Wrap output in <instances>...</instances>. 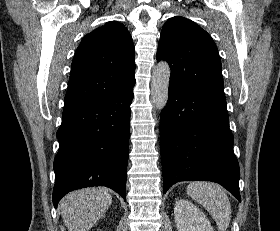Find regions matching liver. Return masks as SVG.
<instances>
[{"label":"liver","instance_id":"6515ba94","mask_svg":"<svg viewBox=\"0 0 280 231\" xmlns=\"http://www.w3.org/2000/svg\"><path fill=\"white\" fill-rule=\"evenodd\" d=\"M112 203L107 187H85L70 191L60 203L68 231H88Z\"/></svg>","mask_w":280,"mask_h":231}]
</instances>
